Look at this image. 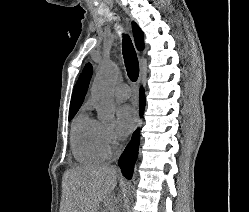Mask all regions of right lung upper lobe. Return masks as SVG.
Segmentation results:
<instances>
[{
	"mask_svg": "<svg viewBox=\"0 0 249 212\" xmlns=\"http://www.w3.org/2000/svg\"><path fill=\"white\" fill-rule=\"evenodd\" d=\"M132 27H133V34H134L136 47L138 50H142L144 48L143 32L138 27V25L134 22L132 23ZM92 72H93L92 65L88 63L84 67L83 72L80 75L76 83V86L74 88L72 98H71L70 110H78L81 107L84 101V97L88 90Z\"/></svg>",
	"mask_w": 249,
	"mask_h": 212,
	"instance_id": "1",
	"label": "right lung upper lobe"
}]
</instances>
